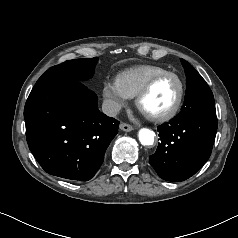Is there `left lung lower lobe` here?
<instances>
[{
	"mask_svg": "<svg viewBox=\"0 0 238 238\" xmlns=\"http://www.w3.org/2000/svg\"><path fill=\"white\" fill-rule=\"evenodd\" d=\"M216 131V110L178 115L158 127L161 142L149 163L164 180H186L209 159Z\"/></svg>",
	"mask_w": 238,
	"mask_h": 238,
	"instance_id": "1",
	"label": "left lung lower lobe"
}]
</instances>
